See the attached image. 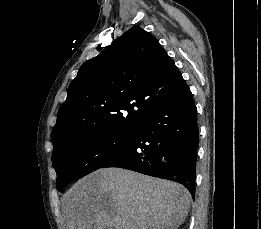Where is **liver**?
Wrapping results in <instances>:
<instances>
[{"label":"liver","mask_w":261,"mask_h":229,"mask_svg":"<svg viewBox=\"0 0 261 229\" xmlns=\"http://www.w3.org/2000/svg\"><path fill=\"white\" fill-rule=\"evenodd\" d=\"M66 229H178L190 209L183 185L126 169H99L64 195Z\"/></svg>","instance_id":"1"}]
</instances>
